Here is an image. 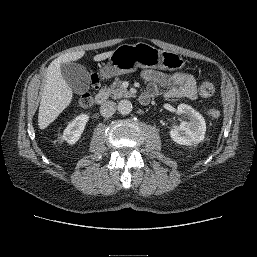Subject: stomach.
<instances>
[{
	"label": "stomach",
	"mask_w": 257,
	"mask_h": 257,
	"mask_svg": "<svg viewBox=\"0 0 257 257\" xmlns=\"http://www.w3.org/2000/svg\"><path fill=\"white\" fill-rule=\"evenodd\" d=\"M185 66L184 59L176 53L159 50L146 43L123 44L116 48L101 70L105 78L132 73L141 68L178 70Z\"/></svg>",
	"instance_id": "stomach-1"
}]
</instances>
